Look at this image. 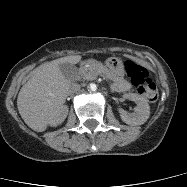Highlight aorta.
I'll return each instance as SVG.
<instances>
[{
    "label": "aorta",
    "mask_w": 187,
    "mask_h": 187,
    "mask_svg": "<svg viewBox=\"0 0 187 187\" xmlns=\"http://www.w3.org/2000/svg\"><path fill=\"white\" fill-rule=\"evenodd\" d=\"M90 89H91L92 91H96L97 86H96L95 84H91V85H90Z\"/></svg>",
    "instance_id": "obj_1"
}]
</instances>
